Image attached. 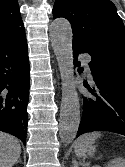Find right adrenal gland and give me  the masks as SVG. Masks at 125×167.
<instances>
[{
  "mask_svg": "<svg viewBox=\"0 0 125 167\" xmlns=\"http://www.w3.org/2000/svg\"><path fill=\"white\" fill-rule=\"evenodd\" d=\"M17 162H21V159L19 158V160Z\"/></svg>",
  "mask_w": 125,
  "mask_h": 167,
  "instance_id": "obj_1",
  "label": "right adrenal gland"
}]
</instances>
